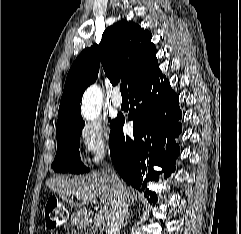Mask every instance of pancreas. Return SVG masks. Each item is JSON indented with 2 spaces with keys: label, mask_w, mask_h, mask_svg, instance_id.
I'll use <instances>...</instances> for the list:
<instances>
[{
  "label": "pancreas",
  "mask_w": 241,
  "mask_h": 234,
  "mask_svg": "<svg viewBox=\"0 0 241 234\" xmlns=\"http://www.w3.org/2000/svg\"><path fill=\"white\" fill-rule=\"evenodd\" d=\"M89 234H96V232H95V231L90 230V231H89Z\"/></svg>",
  "instance_id": "1"
}]
</instances>
